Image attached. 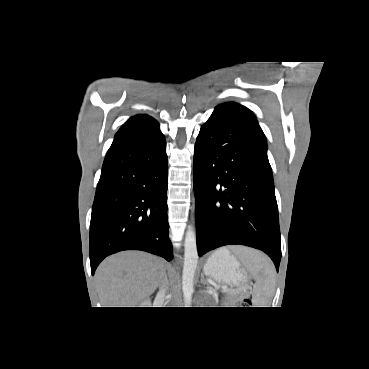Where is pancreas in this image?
Segmentation results:
<instances>
[{"label":"pancreas","instance_id":"obj_1","mask_svg":"<svg viewBox=\"0 0 369 369\" xmlns=\"http://www.w3.org/2000/svg\"><path fill=\"white\" fill-rule=\"evenodd\" d=\"M225 293L227 294V299L231 304H234L237 300H239L243 296L248 295L247 293H244L242 291L233 292L231 290H227L225 291Z\"/></svg>","mask_w":369,"mask_h":369}]
</instances>
